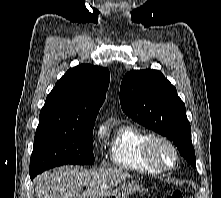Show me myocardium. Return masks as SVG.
Instances as JSON below:
<instances>
[{
	"instance_id": "obj_1",
	"label": "myocardium",
	"mask_w": 221,
	"mask_h": 198,
	"mask_svg": "<svg viewBox=\"0 0 221 198\" xmlns=\"http://www.w3.org/2000/svg\"><path fill=\"white\" fill-rule=\"evenodd\" d=\"M157 143L165 144L173 154V162L170 165L161 163L155 154V145ZM143 156L148 164L160 172L173 170L179 161V151L176 145L166 136L160 134H151L145 140L143 145Z\"/></svg>"
}]
</instances>
